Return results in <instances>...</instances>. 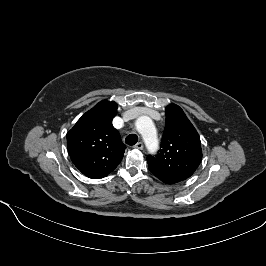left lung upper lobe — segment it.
Instances as JSON below:
<instances>
[{
  "label": "left lung upper lobe",
  "instance_id": "1",
  "mask_svg": "<svg viewBox=\"0 0 266 266\" xmlns=\"http://www.w3.org/2000/svg\"><path fill=\"white\" fill-rule=\"evenodd\" d=\"M157 155L147 157L148 168L166 184L186 180L202 160L200 137L176 104L166 107V125Z\"/></svg>",
  "mask_w": 266,
  "mask_h": 266
}]
</instances>
